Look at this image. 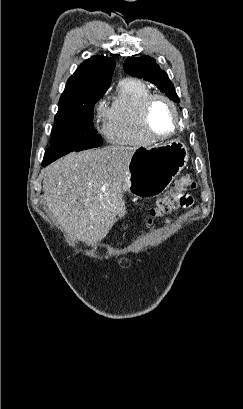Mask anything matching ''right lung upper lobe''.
<instances>
[{
  "instance_id": "cb5924a9",
  "label": "right lung upper lobe",
  "mask_w": 243,
  "mask_h": 409,
  "mask_svg": "<svg viewBox=\"0 0 243 409\" xmlns=\"http://www.w3.org/2000/svg\"><path fill=\"white\" fill-rule=\"evenodd\" d=\"M115 61L112 57L92 56L68 79L59 105H89L97 102L110 86Z\"/></svg>"
}]
</instances>
